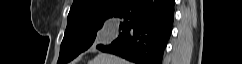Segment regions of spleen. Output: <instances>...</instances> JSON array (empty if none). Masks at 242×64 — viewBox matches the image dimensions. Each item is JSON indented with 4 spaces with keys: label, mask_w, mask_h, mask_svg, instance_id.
<instances>
[{
    "label": "spleen",
    "mask_w": 242,
    "mask_h": 64,
    "mask_svg": "<svg viewBox=\"0 0 242 64\" xmlns=\"http://www.w3.org/2000/svg\"><path fill=\"white\" fill-rule=\"evenodd\" d=\"M91 64H130V63L114 55L99 54L93 59V61H91Z\"/></svg>",
    "instance_id": "3e777b00"
}]
</instances>
